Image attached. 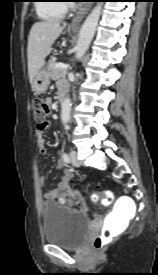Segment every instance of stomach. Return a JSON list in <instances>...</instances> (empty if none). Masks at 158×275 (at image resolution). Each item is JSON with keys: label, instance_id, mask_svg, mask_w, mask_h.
I'll return each instance as SVG.
<instances>
[{"label": "stomach", "instance_id": "0dacf381", "mask_svg": "<svg viewBox=\"0 0 158 275\" xmlns=\"http://www.w3.org/2000/svg\"><path fill=\"white\" fill-rule=\"evenodd\" d=\"M32 90L35 94H42L47 90L49 85V75L45 69H40L34 76L31 83Z\"/></svg>", "mask_w": 158, "mask_h": 275}]
</instances>
